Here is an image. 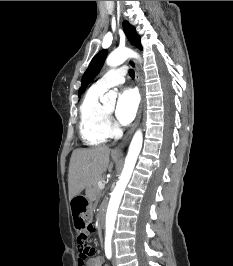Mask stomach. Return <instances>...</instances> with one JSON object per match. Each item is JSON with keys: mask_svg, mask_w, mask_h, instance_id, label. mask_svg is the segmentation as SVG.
<instances>
[{"mask_svg": "<svg viewBox=\"0 0 233 266\" xmlns=\"http://www.w3.org/2000/svg\"><path fill=\"white\" fill-rule=\"evenodd\" d=\"M90 196L86 194H75L74 199H71L72 214H74L73 228L76 232H87L89 225H94V220L88 214V203Z\"/></svg>", "mask_w": 233, "mask_h": 266, "instance_id": "1", "label": "stomach"}]
</instances>
